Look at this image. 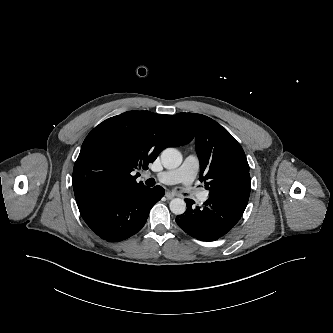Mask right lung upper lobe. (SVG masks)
Wrapping results in <instances>:
<instances>
[{
  "label": "right lung upper lobe",
  "mask_w": 333,
  "mask_h": 333,
  "mask_svg": "<svg viewBox=\"0 0 333 333\" xmlns=\"http://www.w3.org/2000/svg\"><path fill=\"white\" fill-rule=\"evenodd\" d=\"M193 139L174 115L128 111L96 126L85 138L73 169L75 198L95 192L128 194L145 186L135 171L148 168L159 153Z\"/></svg>",
  "instance_id": "obj_1"
}]
</instances>
